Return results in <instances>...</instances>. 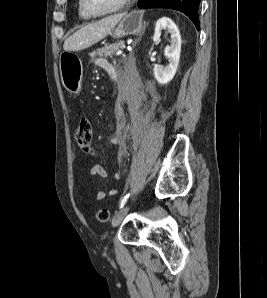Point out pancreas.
Segmentation results:
<instances>
[{
	"mask_svg": "<svg viewBox=\"0 0 267 298\" xmlns=\"http://www.w3.org/2000/svg\"><path fill=\"white\" fill-rule=\"evenodd\" d=\"M122 47H124V42L118 41L91 52L90 56L94 57L96 55H100L105 57H111L113 54H115L116 51H118Z\"/></svg>",
	"mask_w": 267,
	"mask_h": 298,
	"instance_id": "cf45deb5",
	"label": "pancreas"
}]
</instances>
